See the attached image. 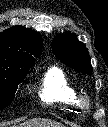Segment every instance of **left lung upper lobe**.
Wrapping results in <instances>:
<instances>
[{"label":"left lung upper lobe","instance_id":"left-lung-upper-lobe-1","mask_svg":"<svg viewBox=\"0 0 108 127\" xmlns=\"http://www.w3.org/2000/svg\"><path fill=\"white\" fill-rule=\"evenodd\" d=\"M55 56L69 67L86 74L92 73L90 57L84 43L73 34L59 35L53 40Z\"/></svg>","mask_w":108,"mask_h":127}]
</instances>
